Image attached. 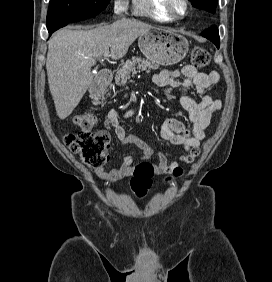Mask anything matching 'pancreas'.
<instances>
[{
  "label": "pancreas",
  "mask_w": 272,
  "mask_h": 282,
  "mask_svg": "<svg viewBox=\"0 0 272 282\" xmlns=\"http://www.w3.org/2000/svg\"><path fill=\"white\" fill-rule=\"evenodd\" d=\"M158 65L140 57H132L127 60L115 75V83L124 85L130 79L131 74H136L140 71H151L157 69Z\"/></svg>",
  "instance_id": "obj_1"
}]
</instances>
